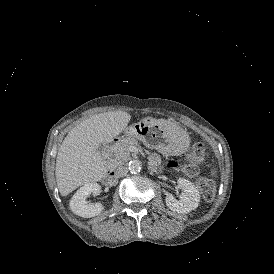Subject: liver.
I'll return each instance as SVG.
<instances>
[{"instance_id":"obj_1","label":"liver","mask_w":274,"mask_h":274,"mask_svg":"<svg viewBox=\"0 0 274 274\" xmlns=\"http://www.w3.org/2000/svg\"><path fill=\"white\" fill-rule=\"evenodd\" d=\"M130 114L110 111L91 116L74 127L63 140L56 160V182L62 196L107 175L98 148L111 143L128 125Z\"/></svg>"}]
</instances>
